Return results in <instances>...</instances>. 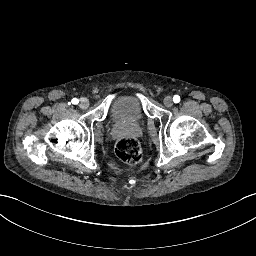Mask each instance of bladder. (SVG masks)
I'll list each match as a JSON object with an SVG mask.
<instances>
[{
  "label": "bladder",
  "mask_w": 256,
  "mask_h": 256,
  "mask_svg": "<svg viewBox=\"0 0 256 256\" xmlns=\"http://www.w3.org/2000/svg\"><path fill=\"white\" fill-rule=\"evenodd\" d=\"M112 119L115 123L122 124H141L143 122V113L137 99L132 96H121L116 100Z\"/></svg>",
  "instance_id": "1"
}]
</instances>
